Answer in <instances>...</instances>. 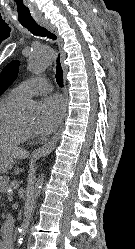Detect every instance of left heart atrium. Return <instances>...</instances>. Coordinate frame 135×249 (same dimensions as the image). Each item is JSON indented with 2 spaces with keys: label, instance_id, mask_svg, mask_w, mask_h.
I'll use <instances>...</instances> for the list:
<instances>
[{
  "label": "left heart atrium",
  "instance_id": "1",
  "mask_svg": "<svg viewBox=\"0 0 135 249\" xmlns=\"http://www.w3.org/2000/svg\"><path fill=\"white\" fill-rule=\"evenodd\" d=\"M65 112V103L59 95L46 97L40 105L37 128L43 132L53 131L61 122Z\"/></svg>",
  "mask_w": 135,
  "mask_h": 249
}]
</instances>
